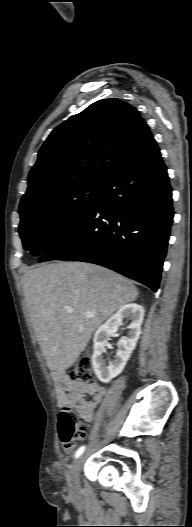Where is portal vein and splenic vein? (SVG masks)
<instances>
[{
	"label": "portal vein and splenic vein",
	"mask_w": 192,
	"mask_h": 527,
	"mask_svg": "<svg viewBox=\"0 0 192 527\" xmlns=\"http://www.w3.org/2000/svg\"><path fill=\"white\" fill-rule=\"evenodd\" d=\"M67 312H68V313H72L73 310H72L71 308H68V309H67ZM92 317H94L93 314H88V315L86 316V318H92Z\"/></svg>",
	"instance_id": "18ae733b"
}]
</instances>
